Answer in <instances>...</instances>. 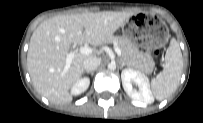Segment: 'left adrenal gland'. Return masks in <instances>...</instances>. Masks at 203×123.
<instances>
[{
  "label": "left adrenal gland",
  "mask_w": 203,
  "mask_h": 123,
  "mask_svg": "<svg viewBox=\"0 0 203 123\" xmlns=\"http://www.w3.org/2000/svg\"><path fill=\"white\" fill-rule=\"evenodd\" d=\"M120 67L123 68L125 65H127V63L121 58L120 59Z\"/></svg>",
  "instance_id": "a2214340"
}]
</instances>
